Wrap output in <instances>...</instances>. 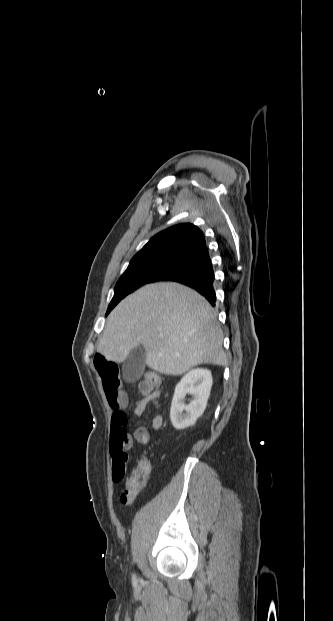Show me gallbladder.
Instances as JSON below:
<instances>
[{
  "mask_svg": "<svg viewBox=\"0 0 333 621\" xmlns=\"http://www.w3.org/2000/svg\"><path fill=\"white\" fill-rule=\"evenodd\" d=\"M145 357V350L141 345L130 351L122 369L125 381L135 382L142 376L145 368Z\"/></svg>",
  "mask_w": 333,
  "mask_h": 621,
  "instance_id": "bac80fb5",
  "label": "gallbladder"
}]
</instances>
